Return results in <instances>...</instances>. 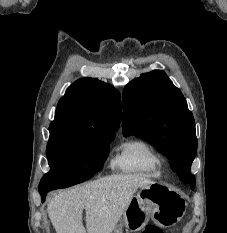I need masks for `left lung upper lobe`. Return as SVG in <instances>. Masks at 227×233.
I'll return each instance as SVG.
<instances>
[{"label":"left lung upper lobe","mask_w":227,"mask_h":233,"mask_svg":"<svg viewBox=\"0 0 227 233\" xmlns=\"http://www.w3.org/2000/svg\"><path fill=\"white\" fill-rule=\"evenodd\" d=\"M123 133L136 134L170 161L181 181L194 188L190 172L197 152L195 122L181 91L166 73L154 70L128 83L123 91Z\"/></svg>","instance_id":"obj_1"}]
</instances>
